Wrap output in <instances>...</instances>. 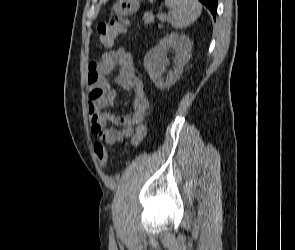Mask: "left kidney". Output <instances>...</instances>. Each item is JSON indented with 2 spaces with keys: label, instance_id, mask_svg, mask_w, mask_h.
<instances>
[{
  "label": "left kidney",
  "instance_id": "obj_1",
  "mask_svg": "<svg viewBox=\"0 0 295 250\" xmlns=\"http://www.w3.org/2000/svg\"><path fill=\"white\" fill-rule=\"evenodd\" d=\"M172 48L175 51V68L166 79L162 75L167 67V51ZM192 42L189 37L177 33H170L159 44L151 49L144 57V68L158 89H166L173 85L180 77L183 67L191 57Z\"/></svg>",
  "mask_w": 295,
  "mask_h": 250
}]
</instances>
